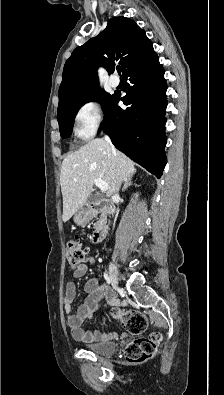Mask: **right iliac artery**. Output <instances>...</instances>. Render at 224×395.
<instances>
[{"mask_svg": "<svg viewBox=\"0 0 224 395\" xmlns=\"http://www.w3.org/2000/svg\"><path fill=\"white\" fill-rule=\"evenodd\" d=\"M104 278H105V280H106V282H107L108 284L111 283V279H110V277L108 276V274L104 273Z\"/></svg>", "mask_w": 224, "mask_h": 395, "instance_id": "82829eb1", "label": "right iliac artery"}]
</instances>
